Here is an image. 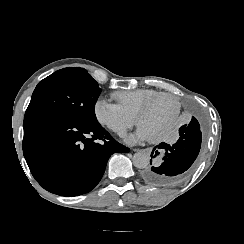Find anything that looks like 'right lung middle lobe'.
Wrapping results in <instances>:
<instances>
[{
  "label": "right lung middle lobe",
  "instance_id": "dd1d6c3e",
  "mask_svg": "<svg viewBox=\"0 0 244 244\" xmlns=\"http://www.w3.org/2000/svg\"><path fill=\"white\" fill-rule=\"evenodd\" d=\"M101 93L87 70L68 67L46 77L36 86L26 111H49L83 123L98 122L95 104Z\"/></svg>",
  "mask_w": 244,
  "mask_h": 244
}]
</instances>
